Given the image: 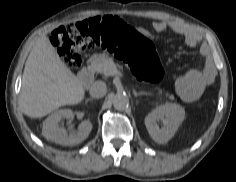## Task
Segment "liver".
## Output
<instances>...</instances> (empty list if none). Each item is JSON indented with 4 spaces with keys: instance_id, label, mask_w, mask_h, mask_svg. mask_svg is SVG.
<instances>
[{
    "instance_id": "liver-1",
    "label": "liver",
    "mask_w": 236,
    "mask_h": 182,
    "mask_svg": "<svg viewBox=\"0 0 236 182\" xmlns=\"http://www.w3.org/2000/svg\"><path fill=\"white\" fill-rule=\"evenodd\" d=\"M84 96L82 79L65 65L49 38L41 36L25 63L20 91L22 112L41 118L61 106L79 104Z\"/></svg>"
}]
</instances>
